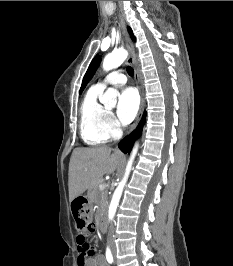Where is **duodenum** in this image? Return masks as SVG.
Here are the masks:
<instances>
[{
    "label": "duodenum",
    "instance_id": "obj_1",
    "mask_svg": "<svg viewBox=\"0 0 233 266\" xmlns=\"http://www.w3.org/2000/svg\"><path fill=\"white\" fill-rule=\"evenodd\" d=\"M98 227L101 231L105 230V222H104V216L101 214L98 219Z\"/></svg>",
    "mask_w": 233,
    "mask_h": 266
}]
</instances>
